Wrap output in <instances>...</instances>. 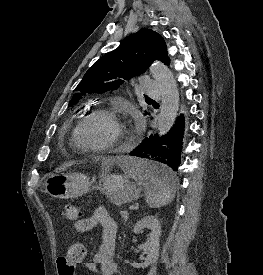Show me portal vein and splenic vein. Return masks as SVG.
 Segmentation results:
<instances>
[{
	"label": "portal vein and splenic vein",
	"instance_id": "18ae733b",
	"mask_svg": "<svg viewBox=\"0 0 263 275\" xmlns=\"http://www.w3.org/2000/svg\"><path fill=\"white\" fill-rule=\"evenodd\" d=\"M134 208H135L134 206H130V207H129L130 210H133Z\"/></svg>",
	"mask_w": 263,
	"mask_h": 275
}]
</instances>
